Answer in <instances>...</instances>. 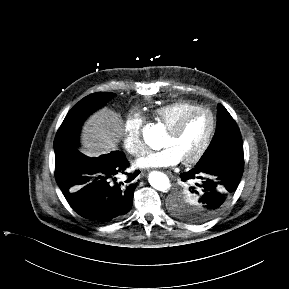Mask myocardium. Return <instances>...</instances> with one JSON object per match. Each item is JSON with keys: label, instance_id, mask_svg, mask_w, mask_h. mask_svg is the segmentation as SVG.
I'll list each match as a JSON object with an SVG mask.
<instances>
[{"label": "myocardium", "instance_id": "myocardium-1", "mask_svg": "<svg viewBox=\"0 0 289 289\" xmlns=\"http://www.w3.org/2000/svg\"><path fill=\"white\" fill-rule=\"evenodd\" d=\"M202 112L209 114V116L211 118V128H210L209 134H208L207 138L205 139V141L203 142V144L201 145V147L196 151V153H194L191 157H189L187 159L181 160V162L184 165H191V164L198 162L203 157V155L206 153V151L208 150L209 146L211 145L212 140H213L215 133H216L217 118H216L215 114L210 109L205 108V107H198V108L189 110L186 113H184L172 126H170L167 129V131L171 135H177L182 131V129L184 128L187 121L193 115H195L197 113H202Z\"/></svg>", "mask_w": 289, "mask_h": 289}]
</instances>
